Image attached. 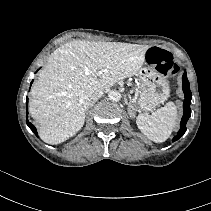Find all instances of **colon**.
<instances>
[{
  "instance_id": "colon-1",
  "label": "colon",
  "mask_w": 211,
  "mask_h": 211,
  "mask_svg": "<svg viewBox=\"0 0 211 211\" xmlns=\"http://www.w3.org/2000/svg\"><path fill=\"white\" fill-rule=\"evenodd\" d=\"M147 60L164 75H175L178 72V65L174 62L172 55L164 49L157 47L149 49Z\"/></svg>"
}]
</instances>
